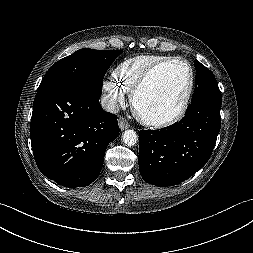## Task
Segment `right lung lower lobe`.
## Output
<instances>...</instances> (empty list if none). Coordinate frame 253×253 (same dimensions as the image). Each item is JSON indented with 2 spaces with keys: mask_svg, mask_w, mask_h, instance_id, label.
<instances>
[{
  "mask_svg": "<svg viewBox=\"0 0 253 253\" xmlns=\"http://www.w3.org/2000/svg\"><path fill=\"white\" fill-rule=\"evenodd\" d=\"M101 93L69 84L38 89L30 124L39 170L65 187H84L99 176L106 148L119 135L116 115L104 112Z\"/></svg>",
  "mask_w": 253,
  "mask_h": 253,
  "instance_id": "98d812e1",
  "label": "right lung lower lobe"
}]
</instances>
